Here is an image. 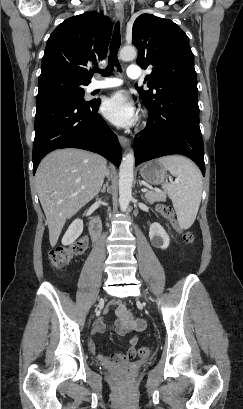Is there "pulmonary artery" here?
I'll return each mask as SVG.
<instances>
[{
  "mask_svg": "<svg viewBox=\"0 0 243 409\" xmlns=\"http://www.w3.org/2000/svg\"><path fill=\"white\" fill-rule=\"evenodd\" d=\"M127 75L131 79H139L141 77V71L138 66H130L127 70ZM122 80L118 77H108L104 80H94L90 83L89 89H109L118 87Z\"/></svg>",
  "mask_w": 243,
  "mask_h": 409,
  "instance_id": "obj_1",
  "label": "pulmonary artery"
}]
</instances>
